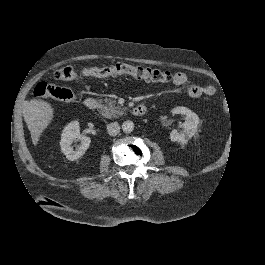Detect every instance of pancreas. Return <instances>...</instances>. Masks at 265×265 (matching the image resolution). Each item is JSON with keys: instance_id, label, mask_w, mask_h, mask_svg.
I'll use <instances>...</instances> for the list:
<instances>
[{"instance_id": "cf45deb5", "label": "pancreas", "mask_w": 265, "mask_h": 265, "mask_svg": "<svg viewBox=\"0 0 265 265\" xmlns=\"http://www.w3.org/2000/svg\"><path fill=\"white\" fill-rule=\"evenodd\" d=\"M105 104L101 109V114L106 118H113L123 115V111L126 108H122L120 105H116V101L111 98L104 99Z\"/></svg>"}]
</instances>
